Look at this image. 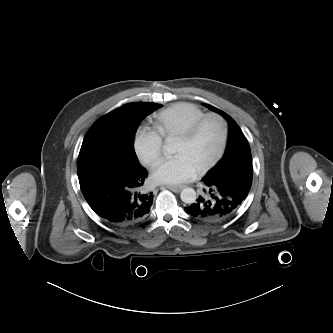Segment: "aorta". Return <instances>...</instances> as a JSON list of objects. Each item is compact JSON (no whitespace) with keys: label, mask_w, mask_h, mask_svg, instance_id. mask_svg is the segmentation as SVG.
I'll return each instance as SVG.
<instances>
[{"label":"aorta","mask_w":333,"mask_h":333,"mask_svg":"<svg viewBox=\"0 0 333 333\" xmlns=\"http://www.w3.org/2000/svg\"><path fill=\"white\" fill-rule=\"evenodd\" d=\"M166 150H170L169 146H164ZM180 198L184 203L192 204L196 201V191L193 188H185L180 193Z\"/></svg>","instance_id":"aorta-1"}]
</instances>
